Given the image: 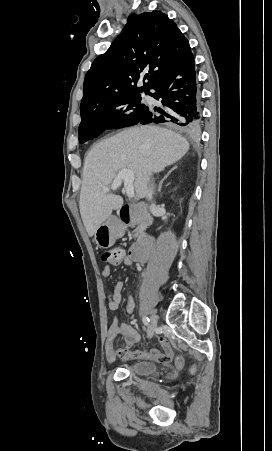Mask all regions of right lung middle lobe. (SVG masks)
<instances>
[{
  "label": "right lung middle lobe",
  "instance_id": "dd1d6c3e",
  "mask_svg": "<svg viewBox=\"0 0 272 451\" xmlns=\"http://www.w3.org/2000/svg\"><path fill=\"white\" fill-rule=\"evenodd\" d=\"M141 95H131L94 106L81 113L78 128L80 143L97 137L107 128L135 125L148 112Z\"/></svg>",
  "mask_w": 272,
  "mask_h": 451
}]
</instances>
